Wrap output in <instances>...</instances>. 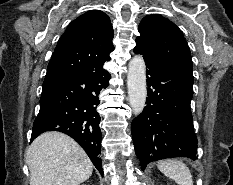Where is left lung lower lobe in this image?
Wrapping results in <instances>:
<instances>
[{"instance_id":"obj_1","label":"left lung lower lobe","mask_w":233,"mask_h":185,"mask_svg":"<svg viewBox=\"0 0 233 185\" xmlns=\"http://www.w3.org/2000/svg\"><path fill=\"white\" fill-rule=\"evenodd\" d=\"M140 54L137 49L133 50ZM147 73V106L133 120L131 132L142 168L170 157L196 159L190 103L194 77L191 70L144 58Z\"/></svg>"}]
</instances>
